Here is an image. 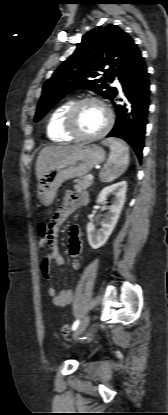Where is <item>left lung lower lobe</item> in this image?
Returning <instances> with one entry per match:
<instances>
[{"label":"left lung lower lobe","instance_id":"obj_1","mask_svg":"<svg viewBox=\"0 0 168 415\" xmlns=\"http://www.w3.org/2000/svg\"><path fill=\"white\" fill-rule=\"evenodd\" d=\"M125 102L116 104V92L112 103L117 115L116 123L107 137H117L131 145L139 160L142 159L144 135L147 124L150 83L144 58L139 53L120 80ZM122 100V99H121Z\"/></svg>","mask_w":168,"mask_h":415}]
</instances>
